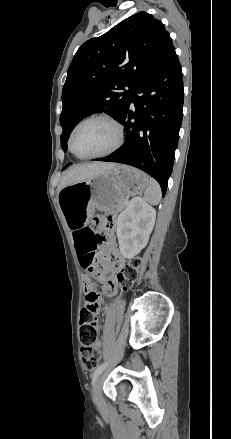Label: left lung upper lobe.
<instances>
[{"instance_id": "left-lung-upper-lobe-1", "label": "left lung upper lobe", "mask_w": 231, "mask_h": 439, "mask_svg": "<svg viewBox=\"0 0 231 439\" xmlns=\"http://www.w3.org/2000/svg\"><path fill=\"white\" fill-rule=\"evenodd\" d=\"M172 46L162 22L146 12L82 44L62 90V149L67 150L69 135L83 118L106 112L119 120L136 84Z\"/></svg>"}]
</instances>
